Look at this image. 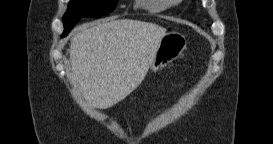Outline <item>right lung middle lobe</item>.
<instances>
[{
	"label": "right lung middle lobe",
	"instance_id": "dd1d6c3e",
	"mask_svg": "<svg viewBox=\"0 0 273 144\" xmlns=\"http://www.w3.org/2000/svg\"><path fill=\"white\" fill-rule=\"evenodd\" d=\"M118 0H70L63 17L65 37L73 28L76 20L82 17H101L113 11Z\"/></svg>",
	"mask_w": 273,
	"mask_h": 144
}]
</instances>
